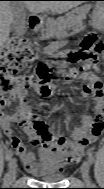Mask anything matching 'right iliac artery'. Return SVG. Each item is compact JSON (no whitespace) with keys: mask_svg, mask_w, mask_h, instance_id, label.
Returning a JSON list of instances; mask_svg holds the SVG:
<instances>
[{"mask_svg":"<svg viewBox=\"0 0 104 189\" xmlns=\"http://www.w3.org/2000/svg\"><path fill=\"white\" fill-rule=\"evenodd\" d=\"M12 155H13L12 150L11 149L7 150V152H6V160L9 161L11 159Z\"/></svg>","mask_w":104,"mask_h":189,"instance_id":"82829eb1","label":"right iliac artery"}]
</instances>
